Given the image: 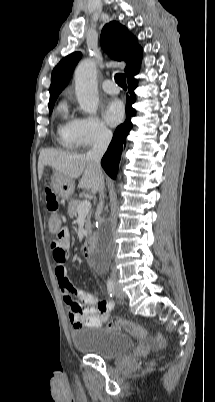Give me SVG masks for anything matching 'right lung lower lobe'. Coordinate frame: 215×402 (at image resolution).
<instances>
[{"instance_id":"obj_1","label":"right lung lower lobe","mask_w":215,"mask_h":402,"mask_svg":"<svg viewBox=\"0 0 215 402\" xmlns=\"http://www.w3.org/2000/svg\"><path fill=\"white\" fill-rule=\"evenodd\" d=\"M137 84L138 82L134 77L128 79L129 96L126 98V121L116 128L112 141L101 160L102 167L111 178L116 177L121 154L126 145V136L132 128L130 117L136 113L135 109L132 108V104L136 100L134 89Z\"/></svg>"}]
</instances>
